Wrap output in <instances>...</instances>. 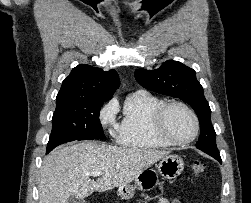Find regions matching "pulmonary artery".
Instances as JSON below:
<instances>
[{"label": "pulmonary artery", "mask_w": 251, "mask_h": 203, "mask_svg": "<svg viewBox=\"0 0 251 203\" xmlns=\"http://www.w3.org/2000/svg\"><path fill=\"white\" fill-rule=\"evenodd\" d=\"M138 93H144V91H139Z\"/></svg>", "instance_id": "e3ab8cb5"}]
</instances>
